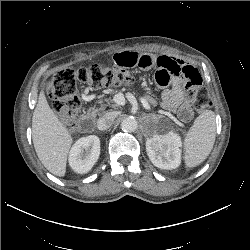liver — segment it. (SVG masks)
I'll return each instance as SVG.
<instances>
[{
	"label": "liver",
	"mask_w": 250,
	"mask_h": 250,
	"mask_svg": "<svg viewBox=\"0 0 250 250\" xmlns=\"http://www.w3.org/2000/svg\"><path fill=\"white\" fill-rule=\"evenodd\" d=\"M32 140L41 163L52 174L63 177L73 138L50 108L44 86L32 117Z\"/></svg>",
	"instance_id": "6515ba94"
}]
</instances>
